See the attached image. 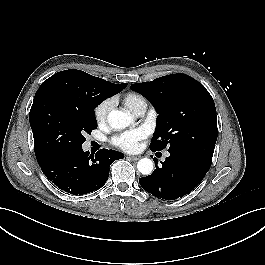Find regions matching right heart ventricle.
Instances as JSON below:
<instances>
[{"mask_svg": "<svg viewBox=\"0 0 265 265\" xmlns=\"http://www.w3.org/2000/svg\"><path fill=\"white\" fill-rule=\"evenodd\" d=\"M123 103L133 113H137L140 110L146 109L148 102L147 99L137 92H129L124 95Z\"/></svg>", "mask_w": 265, "mask_h": 265, "instance_id": "right-heart-ventricle-1", "label": "right heart ventricle"}]
</instances>
